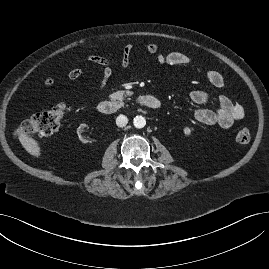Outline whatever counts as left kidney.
<instances>
[{
  "label": "left kidney",
  "mask_w": 269,
  "mask_h": 269,
  "mask_svg": "<svg viewBox=\"0 0 269 269\" xmlns=\"http://www.w3.org/2000/svg\"><path fill=\"white\" fill-rule=\"evenodd\" d=\"M183 132H184V134H185L186 136H189V135L191 134V129L188 128V127H185V128L183 129Z\"/></svg>",
  "instance_id": "1"
}]
</instances>
